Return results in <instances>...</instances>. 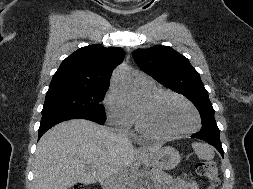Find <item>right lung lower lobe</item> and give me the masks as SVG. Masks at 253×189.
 <instances>
[{"mask_svg": "<svg viewBox=\"0 0 253 189\" xmlns=\"http://www.w3.org/2000/svg\"><path fill=\"white\" fill-rule=\"evenodd\" d=\"M70 119H88V120L96 121L102 125L104 124L103 120H100L98 118L91 117V116L68 114V113L42 115L41 124L39 127L38 139H40V137L54 125L65 120H70Z\"/></svg>", "mask_w": 253, "mask_h": 189, "instance_id": "98d812e1", "label": "right lung lower lobe"}]
</instances>
